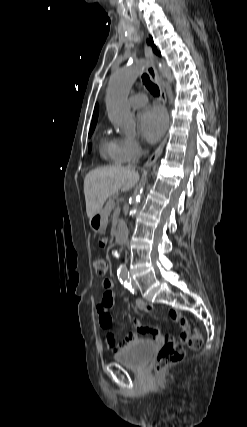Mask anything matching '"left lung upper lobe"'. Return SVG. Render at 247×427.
I'll return each instance as SVG.
<instances>
[{
  "label": "left lung upper lobe",
  "instance_id": "left-lung-upper-lobe-1",
  "mask_svg": "<svg viewBox=\"0 0 247 427\" xmlns=\"http://www.w3.org/2000/svg\"><path fill=\"white\" fill-rule=\"evenodd\" d=\"M148 44H151V45L153 46L154 52H155L156 54L160 55V53L156 50V48H155V46H154V44H153V42H152V38H151V40H148Z\"/></svg>",
  "mask_w": 247,
  "mask_h": 427
}]
</instances>
